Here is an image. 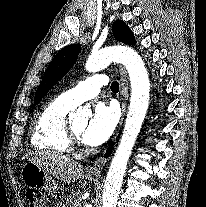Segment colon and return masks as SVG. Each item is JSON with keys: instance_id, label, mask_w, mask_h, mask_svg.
<instances>
[{"instance_id": "5ec220e1", "label": "colon", "mask_w": 206, "mask_h": 207, "mask_svg": "<svg viewBox=\"0 0 206 207\" xmlns=\"http://www.w3.org/2000/svg\"><path fill=\"white\" fill-rule=\"evenodd\" d=\"M27 199L30 204V207H46L47 201L46 198L36 190H30L27 192Z\"/></svg>"}]
</instances>
